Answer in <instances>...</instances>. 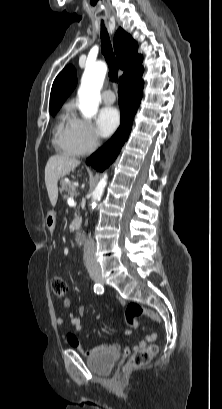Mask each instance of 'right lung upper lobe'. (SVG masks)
<instances>
[{
	"label": "right lung upper lobe",
	"instance_id": "right-lung-upper-lobe-1",
	"mask_svg": "<svg viewBox=\"0 0 222 409\" xmlns=\"http://www.w3.org/2000/svg\"><path fill=\"white\" fill-rule=\"evenodd\" d=\"M114 50L119 67L124 71L119 83L143 73L142 56L137 53L138 45L122 28L114 37ZM77 84L76 71L73 66L65 67L54 80L50 96V112L58 111Z\"/></svg>",
	"mask_w": 222,
	"mask_h": 409
}]
</instances>
